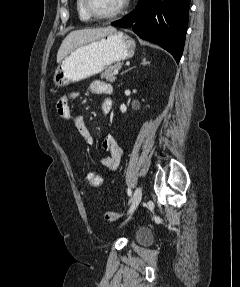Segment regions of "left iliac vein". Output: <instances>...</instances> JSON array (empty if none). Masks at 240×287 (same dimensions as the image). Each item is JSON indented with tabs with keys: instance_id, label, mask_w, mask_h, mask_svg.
Instances as JSON below:
<instances>
[{
	"instance_id": "4c4485c4",
	"label": "left iliac vein",
	"mask_w": 240,
	"mask_h": 287,
	"mask_svg": "<svg viewBox=\"0 0 240 287\" xmlns=\"http://www.w3.org/2000/svg\"><path fill=\"white\" fill-rule=\"evenodd\" d=\"M142 199V189L140 187H137L135 189L134 195H133V199H132V203L129 209V213H132L136 207L139 205L140 201Z\"/></svg>"
}]
</instances>
